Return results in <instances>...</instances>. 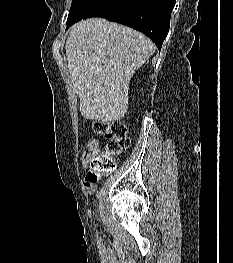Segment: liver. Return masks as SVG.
<instances>
[{
  "label": "liver",
  "mask_w": 233,
  "mask_h": 263,
  "mask_svg": "<svg viewBox=\"0 0 233 263\" xmlns=\"http://www.w3.org/2000/svg\"><path fill=\"white\" fill-rule=\"evenodd\" d=\"M65 50L81 114L107 123L127 113L130 80L155 46L132 28L91 18L71 27Z\"/></svg>",
  "instance_id": "liver-1"
}]
</instances>
